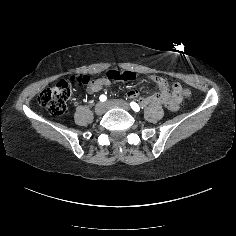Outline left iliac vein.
Segmentation results:
<instances>
[{"mask_svg": "<svg viewBox=\"0 0 236 236\" xmlns=\"http://www.w3.org/2000/svg\"><path fill=\"white\" fill-rule=\"evenodd\" d=\"M106 106L108 109H111V108H122L126 111H129L130 110V105L125 102V101H122V100H110V101H107L106 102Z\"/></svg>", "mask_w": 236, "mask_h": 236, "instance_id": "left-iliac-vein-1", "label": "left iliac vein"}]
</instances>
